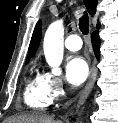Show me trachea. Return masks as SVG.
I'll return each instance as SVG.
<instances>
[{
    "label": "trachea",
    "instance_id": "trachea-1",
    "mask_svg": "<svg viewBox=\"0 0 118 123\" xmlns=\"http://www.w3.org/2000/svg\"><path fill=\"white\" fill-rule=\"evenodd\" d=\"M79 28L80 31L84 34L87 35L89 31V18L86 12L80 17L79 19Z\"/></svg>",
    "mask_w": 118,
    "mask_h": 123
}]
</instances>
